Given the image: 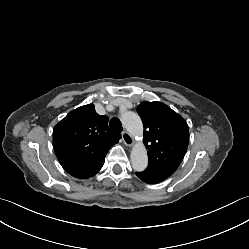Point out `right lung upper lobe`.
I'll return each instance as SVG.
<instances>
[{
    "label": "right lung upper lobe",
    "instance_id": "cb5924a9",
    "mask_svg": "<svg viewBox=\"0 0 249 249\" xmlns=\"http://www.w3.org/2000/svg\"><path fill=\"white\" fill-rule=\"evenodd\" d=\"M121 138L108 127V117L93 104L71 111L53 130V147L61 166L72 176L86 179L103 166L111 146Z\"/></svg>",
    "mask_w": 249,
    "mask_h": 249
}]
</instances>
